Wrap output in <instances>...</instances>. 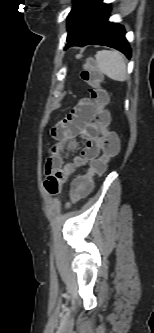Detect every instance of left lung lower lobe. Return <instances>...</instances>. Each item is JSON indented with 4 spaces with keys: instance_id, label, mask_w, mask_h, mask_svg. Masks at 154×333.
<instances>
[{
    "instance_id": "left-lung-lower-lobe-1",
    "label": "left lung lower lobe",
    "mask_w": 154,
    "mask_h": 333,
    "mask_svg": "<svg viewBox=\"0 0 154 333\" xmlns=\"http://www.w3.org/2000/svg\"><path fill=\"white\" fill-rule=\"evenodd\" d=\"M110 5L98 0L84 16L77 32L69 39L65 49L71 46L104 45L115 48L131 57V49L125 38L124 27L108 21Z\"/></svg>"
}]
</instances>
